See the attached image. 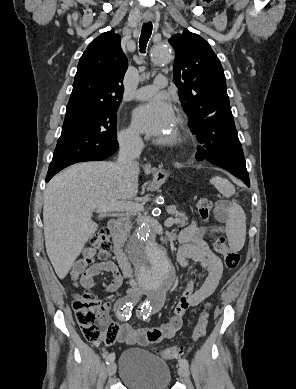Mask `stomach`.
Returning <instances> with one entry per match:
<instances>
[{
    "instance_id": "0dacf381",
    "label": "stomach",
    "mask_w": 296,
    "mask_h": 389,
    "mask_svg": "<svg viewBox=\"0 0 296 389\" xmlns=\"http://www.w3.org/2000/svg\"><path fill=\"white\" fill-rule=\"evenodd\" d=\"M168 171L165 168H155L152 171V183L151 188H158L164 186L167 183Z\"/></svg>"
}]
</instances>
